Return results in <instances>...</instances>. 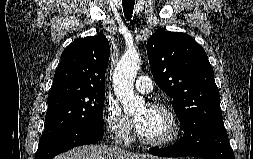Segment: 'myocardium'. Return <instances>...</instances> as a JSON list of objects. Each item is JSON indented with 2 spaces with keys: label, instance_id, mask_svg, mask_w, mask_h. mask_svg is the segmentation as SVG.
<instances>
[{
  "label": "myocardium",
  "instance_id": "obj_1",
  "mask_svg": "<svg viewBox=\"0 0 253 159\" xmlns=\"http://www.w3.org/2000/svg\"><path fill=\"white\" fill-rule=\"evenodd\" d=\"M150 108L162 110L168 115L172 124V133L166 138L159 139V140H151L144 137L137 127L136 134L139 141L144 145L153 146V147H165V146H169L175 143L182 134V124L177 114L174 112V110L171 107L161 102L152 103L150 105Z\"/></svg>",
  "mask_w": 253,
  "mask_h": 159
}]
</instances>
